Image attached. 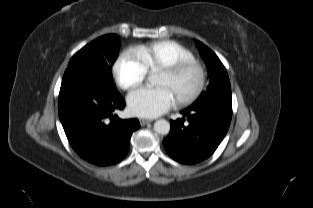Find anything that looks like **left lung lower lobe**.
<instances>
[{
  "instance_id": "1",
  "label": "left lung lower lobe",
  "mask_w": 313,
  "mask_h": 208,
  "mask_svg": "<svg viewBox=\"0 0 313 208\" xmlns=\"http://www.w3.org/2000/svg\"><path fill=\"white\" fill-rule=\"evenodd\" d=\"M182 113L187 117L171 120L170 133L163 141L167 153L183 164H195L210 157L230 126L231 101H205Z\"/></svg>"
}]
</instances>
